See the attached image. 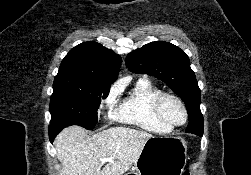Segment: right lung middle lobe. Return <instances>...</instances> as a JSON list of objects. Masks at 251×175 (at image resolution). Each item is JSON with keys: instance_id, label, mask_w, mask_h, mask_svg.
<instances>
[{"instance_id": "1", "label": "right lung middle lobe", "mask_w": 251, "mask_h": 175, "mask_svg": "<svg viewBox=\"0 0 251 175\" xmlns=\"http://www.w3.org/2000/svg\"><path fill=\"white\" fill-rule=\"evenodd\" d=\"M109 89L54 80L50 100V130L60 132L70 125L93 129L98 120L97 109L101 99L107 97Z\"/></svg>"}]
</instances>
